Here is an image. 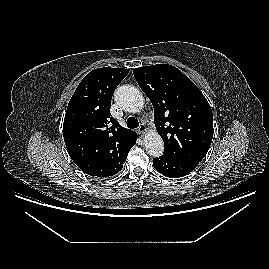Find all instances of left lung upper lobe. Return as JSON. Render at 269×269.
<instances>
[{"instance_id": "obj_1", "label": "left lung upper lobe", "mask_w": 269, "mask_h": 269, "mask_svg": "<svg viewBox=\"0 0 269 269\" xmlns=\"http://www.w3.org/2000/svg\"><path fill=\"white\" fill-rule=\"evenodd\" d=\"M154 108L156 129L165 145L164 157L199 163L213 138L211 107L196 85L168 64L133 70Z\"/></svg>"}]
</instances>
